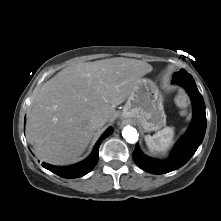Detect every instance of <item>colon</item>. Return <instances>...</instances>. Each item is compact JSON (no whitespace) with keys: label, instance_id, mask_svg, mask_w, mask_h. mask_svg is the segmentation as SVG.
Listing matches in <instances>:
<instances>
[{"label":"colon","instance_id":"obj_1","mask_svg":"<svg viewBox=\"0 0 221 221\" xmlns=\"http://www.w3.org/2000/svg\"><path fill=\"white\" fill-rule=\"evenodd\" d=\"M176 103L179 108L185 109L188 104V98L185 93L180 92L176 98Z\"/></svg>","mask_w":221,"mask_h":221}]
</instances>
